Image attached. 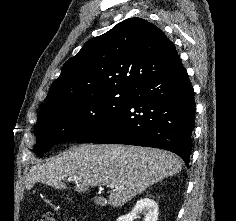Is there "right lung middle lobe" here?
<instances>
[{
    "mask_svg": "<svg viewBox=\"0 0 236 221\" xmlns=\"http://www.w3.org/2000/svg\"><path fill=\"white\" fill-rule=\"evenodd\" d=\"M131 94L128 89L107 91L41 108L35 126L37 154L42 155L54 144L79 140L97 129L127 103Z\"/></svg>",
    "mask_w": 236,
    "mask_h": 221,
    "instance_id": "obj_1",
    "label": "right lung middle lobe"
}]
</instances>
